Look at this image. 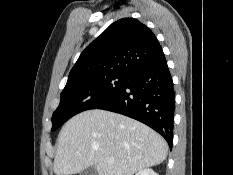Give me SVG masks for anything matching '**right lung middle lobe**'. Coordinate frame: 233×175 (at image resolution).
<instances>
[{"label":"right lung middle lobe","instance_id":"dd1d6c3e","mask_svg":"<svg viewBox=\"0 0 233 175\" xmlns=\"http://www.w3.org/2000/svg\"><path fill=\"white\" fill-rule=\"evenodd\" d=\"M129 74L106 73L67 83L52 116V131L74 115L111 100L129 80Z\"/></svg>","mask_w":233,"mask_h":175}]
</instances>
